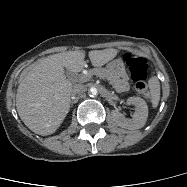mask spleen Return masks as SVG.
I'll return each mask as SVG.
<instances>
[{"instance_id": "spleen-1", "label": "spleen", "mask_w": 187, "mask_h": 187, "mask_svg": "<svg viewBox=\"0 0 187 187\" xmlns=\"http://www.w3.org/2000/svg\"><path fill=\"white\" fill-rule=\"evenodd\" d=\"M149 88L153 108H156L160 100V83L157 77L154 76L149 80Z\"/></svg>"}]
</instances>
